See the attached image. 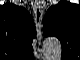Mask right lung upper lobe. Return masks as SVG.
<instances>
[{
  "instance_id": "1",
  "label": "right lung upper lobe",
  "mask_w": 80,
  "mask_h": 60,
  "mask_svg": "<svg viewBox=\"0 0 80 60\" xmlns=\"http://www.w3.org/2000/svg\"><path fill=\"white\" fill-rule=\"evenodd\" d=\"M35 36L34 21L26 9L11 3L0 6V46L3 50L12 56H30Z\"/></svg>"
}]
</instances>
